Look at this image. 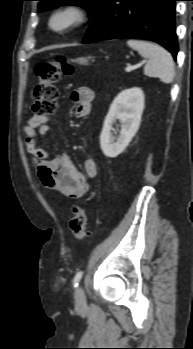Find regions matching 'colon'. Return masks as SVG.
<instances>
[{"mask_svg": "<svg viewBox=\"0 0 193 349\" xmlns=\"http://www.w3.org/2000/svg\"><path fill=\"white\" fill-rule=\"evenodd\" d=\"M36 72L40 81L35 88L33 111L36 116H50L57 110V83L62 75H72L74 67L66 58L59 57L55 62L39 63ZM70 229L77 240L87 236L86 211L78 205L72 207Z\"/></svg>", "mask_w": 193, "mask_h": 349, "instance_id": "5ec220e1", "label": "colon"}]
</instances>
